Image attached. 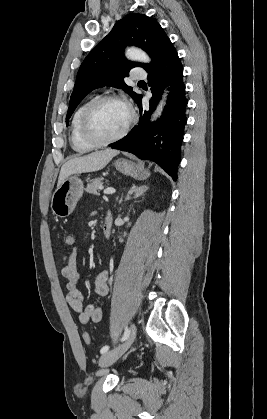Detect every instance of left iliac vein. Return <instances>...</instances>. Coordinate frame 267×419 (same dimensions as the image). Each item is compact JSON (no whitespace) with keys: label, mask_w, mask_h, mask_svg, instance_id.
I'll use <instances>...</instances> for the list:
<instances>
[{"label":"left iliac vein","mask_w":267,"mask_h":419,"mask_svg":"<svg viewBox=\"0 0 267 419\" xmlns=\"http://www.w3.org/2000/svg\"><path fill=\"white\" fill-rule=\"evenodd\" d=\"M135 336H136V326L132 324L130 334L126 342L118 348L105 352L99 359V365L105 368L112 365L115 361H117L132 345L135 339Z\"/></svg>","instance_id":"1"}]
</instances>
